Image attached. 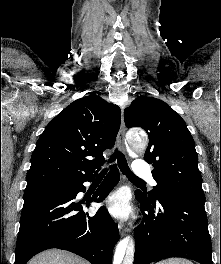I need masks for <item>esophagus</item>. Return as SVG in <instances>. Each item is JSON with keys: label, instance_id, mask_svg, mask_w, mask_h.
Listing matches in <instances>:
<instances>
[{"label": "esophagus", "instance_id": "34e87169", "mask_svg": "<svg viewBox=\"0 0 221 264\" xmlns=\"http://www.w3.org/2000/svg\"><path fill=\"white\" fill-rule=\"evenodd\" d=\"M124 108H121V125H120V130H119V135H118V142H119V147L121 150H124L125 148V133H126V126L124 122ZM119 228V233L121 236H123L128 230L125 228L122 224L118 225Z\"/></svg>", "mask_w": 221, "mask_h": 264}]
</instances>
